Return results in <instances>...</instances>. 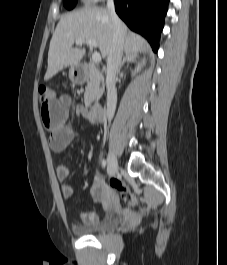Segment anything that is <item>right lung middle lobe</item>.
Wrapping results in <instances>:
<instances>
[{"label":"right lung middle lobe","instance_id":"1","mask_svg":"<svg viewBox=\"0 0 227 265\" xmlns=\"http://www.w3.org/2000/svg\"><path fill=\"white\" fill-rule=\"evenodd\" d=\"M63 2L68 9H72L75 7L77 0H64Z\"/></svg>","mask_w":227,"mask_h":265}]
</instances>
